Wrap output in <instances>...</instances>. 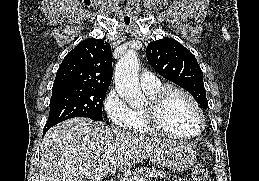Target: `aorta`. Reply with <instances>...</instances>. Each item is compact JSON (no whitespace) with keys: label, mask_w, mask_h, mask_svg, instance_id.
Instances as JSON below:
<instances>
[{"label":"aorta","mask_w":259,"mask_h":181,"mask_svg":"<svg viewBox=\"0 0 259 181\" xmlns=\"http://www.w3.org/2000/svg\"><path fill=\"white\" fill-rule=\"evenodd\" d=\"M139 60L135 51L129 50L115 66V87L119 96L130 107H140L145 102V96L139 86Z\"/></svg>","instance_id":"762f6f07"}]
</instances>
